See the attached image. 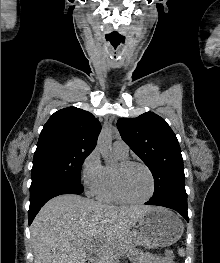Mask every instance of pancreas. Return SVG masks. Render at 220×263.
Here are the masks:
<instances>
[{
  "mask_svg": "<svg viewBox=\"0 0 220 263\" xmlns=\"http://www.w3.org/2000/svg\"><path fill=\"white\" fill-rule=\"evenodd\" d=\"M141 236L140 233L137 231H131L127 233L124 238L121 241V244L117 246V250L115 249H110L105 253V258L104 260L97 262V263H107L105 260L108 258H112L115 252L118 250L122 253L127 252L128 250L134 248L137 245H141Z\"/></svg>",
  "mask_w": 220,
  "mask_h": 263,
  "instance_id": "obj_1",
  "label": "pancreas"
}]
</instances>
